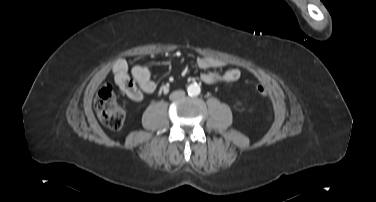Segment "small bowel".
<instances>
[{
    "label": "small bowel",
    "mask_w": 376,
    "mask_h": 202,
    "mask_svg": "<svg viewBox=\"0 0 376 202\" xmlns=\"http://www.w3.org/2000/svg\"><path fill=\"white\" fill-rule=\"evenodd\" d=\"M196 63L205 71L201 75V80L208 85L230 84L241 77V72L236 67L223 72L211 71L210 69H222L229 65L227 61L218 57L202 56ZM112 72L117 87L132 101L138 102L142 99L143 93H152L156 89V78L146 66L137 65L130 69L124 59H118L113 65Z\"/></svg>",
    "instance_id": "small-bowel-1"
}]
</instances>
